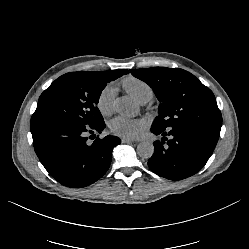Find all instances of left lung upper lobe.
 <instances>
[{"label":"left lung upper lobe","instance_id":"5c2ea615","mask_svg":"<svg viewBox=\"0 0 249 249\" xmlns=\"http://www.w3.org/2000/svg\"><path fill=\"white\" fill-rule=\"evenodd\" d=\"M130 72L146 82L161 102L153 125L163 129L195 123L222 125L214 94L191 73L167 67L131 69Z\"/></svg>","mask_w":249,"mask_h":249}]
</instances>
